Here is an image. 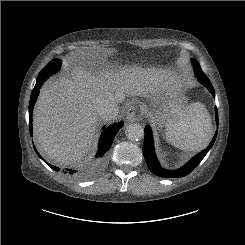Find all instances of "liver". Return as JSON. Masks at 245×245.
Returning <instances> with one entry per match:
<instances>
[{
    "label": "liver",
    "instance_id": "liver-1",
    "mask_svg": "<svg viewBox=\"0 0 245 245\" xmlns=\"http://www.w3.org/2000/svg\"><path fill=\"white\" fill-rule=\"evenodd\" d=\"M70 75L43 87L33 112L35 142L46 159L59 165L79 162L90 149L99 121L98 99L121 103L126 95L152 97L180 89L172 73L156 68L78 66Z\"/></svg>",
    "mask_w": 245,
    "mask_h": 245
}]
</instances>
